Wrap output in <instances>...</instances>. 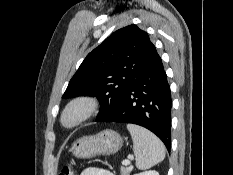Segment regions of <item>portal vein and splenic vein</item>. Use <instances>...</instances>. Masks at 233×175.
Segmentation results:
<instances>
[{
    "label": "portal vein and splenic vein",
    "instance_id": "18ae733b",
    "mask_svg": "<svg viewBox=\"0 0 233 175\" xmlns=\"http://www.w3.org/2000/svg\"><path fill=\"white\" fill-rule=\"evenodd\" d=\"M130 159L131 158L129 157L128 159L123 160L122 164L125 165V166L129 165L130 164Z\"/></svg>",
    "mask_w": 233,
    "mask_h": 175
}]
</instances>
